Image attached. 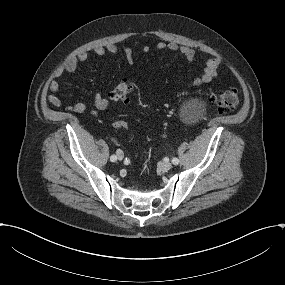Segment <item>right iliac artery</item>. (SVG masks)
<instances>
[{
  "label": "right iliac artery",
  "instance_id": "right-iliac-artery-1",
  "mask_svg": "<svg viewBox=\"0 0 285 285\" xmlns=\"http://www.w3.org/2000/svg\"><path fill=\"white\" fill-rule=\"evenodd\" d=\"M116 159H117L116 155H112V156L110 157V160H111L112 162H115Z\"/></svg>",
  "mask_w": 285,
  "mask_h": 285
}]
</instances>
